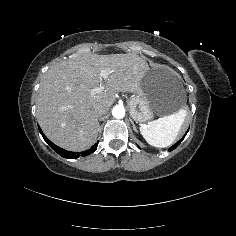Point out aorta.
Wrapping results in <instances>:
<instances>
[{
    "mask_svg": "<svg viewBox=\"0 0 236 236\" xmlns=\"http://www.w3.org/2000/svg\"><path fill=\"white\" fill-rule=\"evenodd\" d=\"M112 115L115 118H123L125 116V109L124 107H120V106H115L112 110Z\"/></svg>",
    "mask_w": 236,
    "mask_h": 236,
    "instance_id": "1",
    "label": "aorta"
}]
</instances>
